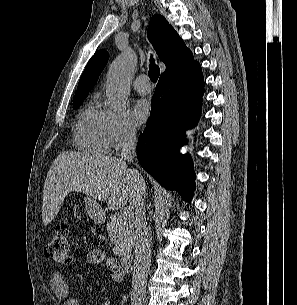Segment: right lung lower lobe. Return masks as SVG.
<instances>
[{"label":"right lung lower lobe","instance_id":"right-lung-lower-lobe-1","mask_svg":"<svg viewBox=\"0 0 297 305\" xmlns=\"http://www.w3.org/2000/svg\"><path fill=\"white\" fill-rule=\"evenodd\" d=\"M204 79L197 62L174 76H161L156 86L147 127L137 144L142 167L166 189L191 201L195 174L189 155H181L185 130L198 122Z\"/></svg>","mask_w":297,"mask_h":305}]
</instances>
